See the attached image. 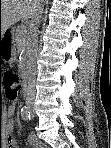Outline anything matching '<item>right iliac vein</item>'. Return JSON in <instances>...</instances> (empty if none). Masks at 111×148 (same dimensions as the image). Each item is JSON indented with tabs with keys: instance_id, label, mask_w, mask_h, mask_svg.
Instances as JSON below:
<instances>
[{
	"instance_id": "1",
	"label": "right iliac vein",
	"mask_w": 111,
	"mask_h": 148,
	"mask_svg": "<svg viewBox=\"0 0 111 148\" xmlns=\"http://www.w3.org/2000/svg\"><path fill=\"white\" fill-rule=\"evenodd\" d=\"M29 110H30L31 112H33V107H29Z\"/></svg>"
}]
</instances>
